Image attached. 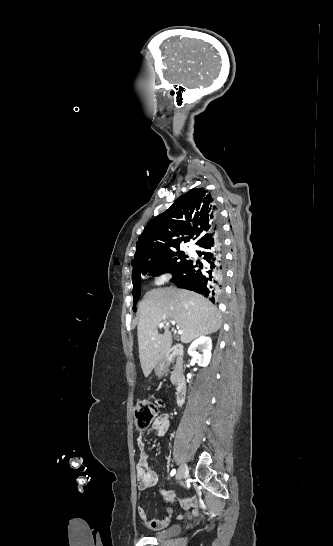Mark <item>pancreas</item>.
Here are the masks:
<instances>
[{
	"mask_svg": "<svg viewBox=\"0 0 333 546\" xmlns=\"http://www.w3.org/2000/svg\"><path fill=\"white\" fill-rule=\"evenodd\" d=\"M170 379H171L172 384L176 385L178 383V381H179V375L176 374V373H173L171 375Z\"/></svg>",
	"mask_w": 333,
	"mask_h": 546,
	"instance_id": "cf45deb5",
	"label": "pancreas"
}]
</instances>
